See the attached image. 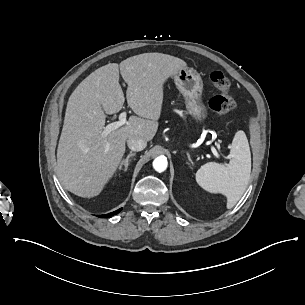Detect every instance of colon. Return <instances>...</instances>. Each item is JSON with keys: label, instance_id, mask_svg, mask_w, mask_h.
<instances>
[{"label": "colon", "instance_id": "1", "mask_svg": "<svg viewBox=\"0 0 305 305\" xmlns=\"http://www.w3.org/2000/svg\"><path fill=\"white\" fill-rule=\"evenodd\" d=\"M210 81L219 91V94L210 98L209 107L226 120L230 111L236 106V103L229 92V78L221 71H213L210 73Z\"/></svg>", "mask_w": 305, "mask_h": 305}]
</instances>
